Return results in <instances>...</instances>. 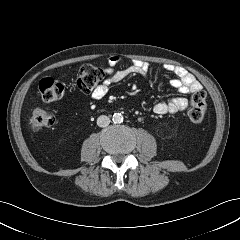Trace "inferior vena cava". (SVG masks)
Wrapping results in <instances>:
<instances>
[{
  "instance_id": "602c4592",
  "label": "inferior vena cava",
  "mask_w": 240,
  "mask_h": 240,
  "mask_svg": "<svg viewBox=\"0 0 240 240\" xmlns=\"http://www.w3.org/2000/svg\"><path fill=\"white\" fill-rule=\"evenodd\" d=\"M110 124V118L105 116V115H101L98 117L97 119V125L99 127H106Z\"/></svg>"
}]
</instances>
